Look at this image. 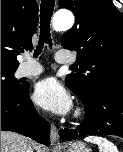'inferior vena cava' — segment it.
Instances as JSON below:
<instances>
[{"instance_id":"1","label":"inferior vena cava","mask_w":123,"mask_h":152,"mask_svg":"<svg viewBox=\"0 0 123 152\" xmlns=\"http://www.w3.org/2000/svg\"><path fill=\"white\" fill-rule=\"evenodd\" d=\"M28 152H33V151L31 149H29Z\"/></svg>"}]
</instances>
